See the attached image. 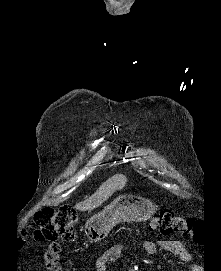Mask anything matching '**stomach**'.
<instances>
[{"instance_id":"0dacf381","label":"stomach","mask_w":221,"mask_h":271,"mask_svg":"<svg viewBox=\"0 0 221 271\" xmlns=\"http://www.w3.org/2000/svg\"><path fill=\"white\" fill-rule=\"evenodd\" d=\"M148 197H119L106 205L105 209L93 215L85 225V233L92 241L104 239L111 227L119 221H142L152 213Z\"/></svg>"}]
</instances>
